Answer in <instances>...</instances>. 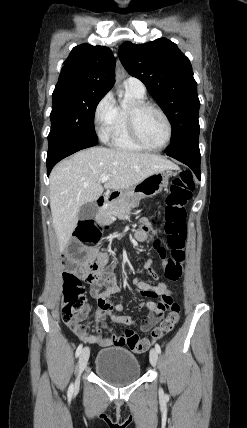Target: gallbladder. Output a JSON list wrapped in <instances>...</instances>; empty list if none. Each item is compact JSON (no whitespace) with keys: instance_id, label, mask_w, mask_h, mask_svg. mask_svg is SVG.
<instances>
[{"instance_id":"obj_1","label":"gallbladder","mask_w":247,"mask_h":428,"mask_svg":"<svg viewBox=\"0 0 247 428\" xmlns=\"http://www.w3.org/2000/svg\"><path fill=\"white\" fill-rule=\"evenodd\" d=\"M98 208L94 202H87L82 205L78 212V219L81 221L89 220L97 215Z\"/></svg>"}]
</instances>
